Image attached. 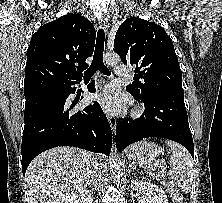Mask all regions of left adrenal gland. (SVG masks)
<instances>
[{
  "instance_id": "a2214340",
  "label": "left adrenal gland",
  "mask_w": 222,
  "mask_h": 203,
  "mask_svg": "<svg viewBox=\"0 0 222 203\" xmlns=\"http://www.w3.org/2000/svg\"><path fill=\"white\" fill-rule=\"evenodd\" d=\"M128 164V171L130 172L131 169H136V166H134L133 164H131L130 162L127 163Z\"/></svg>"
}]
</instances>
